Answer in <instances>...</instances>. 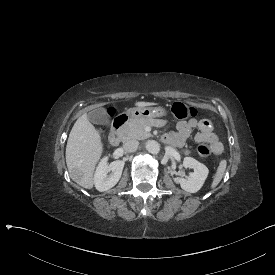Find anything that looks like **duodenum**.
I'll list each match as a JSON object with an SVG mask.
<instances>
[{
  "label": "duodenum",
  "instance_id": "1",
  "mask_svg": "<svg viewBox=\"0 0 275 275\" xmlns=\"http://www.w3.org/2000/svg\"><path fill=\"white\" fill-rule=\"evenodd\" d=\"M129 120V117L126 114H122L115 118L112 130L109 135V141L112 145L116 146L120 143L122 139V132Z\"/></svg>",
  "mask_w": 275,
  "mask_h": 275
}]
</instances>
